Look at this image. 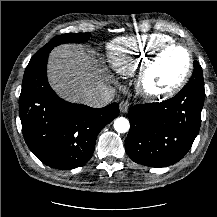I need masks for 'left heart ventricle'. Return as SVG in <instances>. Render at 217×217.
I'll return each mask as SVG.
<instances>
[{
	"instance_id": "obj_1",
	"label": "left heart ventricle",
	"mask_w": 217,
	"mask_h": 217,
	"mask_svg": "<svg viewBox=\"0 0 217 217\" xmlns=\"http://www.w3.org/2000/svg\"><path fill=\"white\" fill-rule=\"evenodd\" d=\"M188 57L183 50L167 51L151 71L149 84L155 90H163L172 86L185 72Z\"/></svg>"
}]
</instances>
